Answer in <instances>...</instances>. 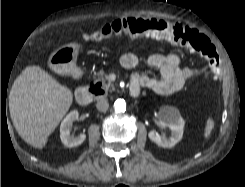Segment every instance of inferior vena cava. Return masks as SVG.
<instances>
[{"mask_svg": "<svg viewBox=\"0 0 245 187\" xmlns=\"http://www.w3.org/2000/svg\"><path fill=\"white\" fill-rule=\"evenodd\" d=\"M96 108L100 112H106L109 108L108 100L105 98L100 99L96 104Z\"/></svg>", "mask_w": 245, "mask_h": 187, "instance_id": "inferior-vena-cava-1", "label": "inferior vena cava"}]
</instances>
